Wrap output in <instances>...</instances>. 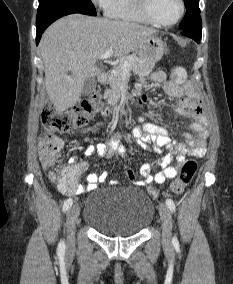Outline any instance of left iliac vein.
<instances>
[{
	"mask_svg": "<svg viewBox=\"0 0 233 284\" xmlns=\"http://www.w3.org/2000/svg\"><path fill=\"white\" fill-rule=\"evenodd\" d=\"M159 213L162 221V240L165 245L171 243V229H172V217L168 207L161 203L159 205Z\"/></svg>",
	"mask_w": 233,
	"mask_h": 284,
	"instance_id": "4c4485c4",
	"label": "left iliac vein"
}]
</instances>
